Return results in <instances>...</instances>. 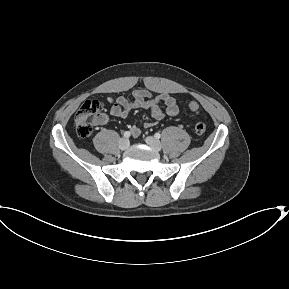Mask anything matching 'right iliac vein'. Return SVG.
<instances>
[{
  "label": "right iliac vein",
  "instance_id": "obj_1",
  "mask_svg": "<svg viewBox=\"0 0 289 289\" xmlns=\"http://www.w3.org/2000/svg\"><path fill=\"white\" fill-rule=\"evenodd\" d=\"M118 145L121 150H126L129 147V140L127 138H121Z\"/></svg>",
  "mask_w": 289,
  "mask_h": 289
}]
</instances>
